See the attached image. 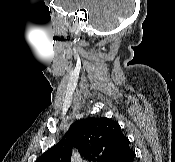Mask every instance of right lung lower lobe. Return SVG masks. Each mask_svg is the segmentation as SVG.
I'll return each mask as SVG.
<instances>
[{
    "label": "right lung lower lobe",
    "mask_w": 175,
    "mask_h": 162,
    "mask_svg": "<svg viewBox=\"0 0 175 162\" xmlns=\"http://www.w3.org/2000/svg\"><path fill=\"white\" fill-rule=\"evenodd\" d=\"M135 158V152L130 147L119 156H117L112 162H133Z\"/></svg>",
    "instance_id": "right-lung-lower-lobe-1"
}]
</instances>
